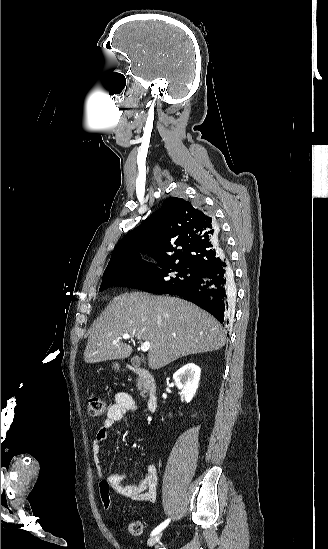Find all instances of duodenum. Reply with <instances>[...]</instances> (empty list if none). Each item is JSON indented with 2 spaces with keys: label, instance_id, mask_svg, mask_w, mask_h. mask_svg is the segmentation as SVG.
Listing matches in <instances>:
<instances>
[{
  "label": "duodenum",
  "instance_id": "1",
  "mask_svg": "<svg viewBox=\"0 0 328 549\" xmlns=\"http://www.w3.org/2000/svg\"><path fill=\"white\" fill-rule=\"evenodd\" d=\"M132 371L142 380L146 390V405L151 412H155L158 407V397L156 394L155 380L151 372L144 368L132 367Z\"/></svg>",
  "mask_w": 328,
  "mask_h": 549
}]
</instances>
